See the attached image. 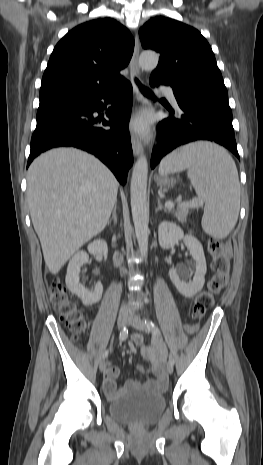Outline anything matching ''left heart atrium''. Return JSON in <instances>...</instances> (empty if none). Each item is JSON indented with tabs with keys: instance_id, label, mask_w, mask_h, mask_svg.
Returning a JSON list of instances; mask_svg holds the SVG:
<instances>
[{
	"instance_id": "1",
	"label": "left heart atrium",
	"mask_w": 263,
	"mask_h": 465,
	"mask_svg": "<svg viewBox=\"0 0 263 465\" xmlns=\"http://www.w3.org/2000/svg\"><path fill=\"white\" fill-rule=\"evenodd\" d=\"M130 126L136 133L145 135L149 130V121L146 116L140 115L131 122Z\"/></svg>"
}]
</instances>
